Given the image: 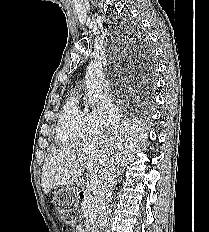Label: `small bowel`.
Masks as SVG:
<instances>
[{
    "label": "small bowel",
    "instance_id": "small-bowel-1",
    "mask_svg": "<svg viewBox=\"0 0 209 232\" xmlns=\"http://www.w3.org/2000/svg\"><path fill=\"white\" fill-rule=\"evenodd\" d=\"M74 227H75V232H84L83 227L78 221L74 222Z\"/></svg>",
    "mask_w": 209,
    "mask_h": 232
}]
</instances>
